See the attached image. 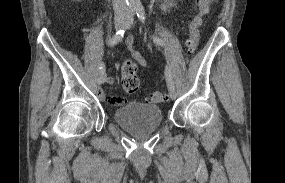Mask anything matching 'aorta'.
I'll return each mask as SVG.
<instances>
[{"label":"aorta","mask_w":285,"mask_h":183,"mask_svg":"<svg viewBox=\"0 0 285 183\" xmlns=\"http://www.w3.org/2000/svg\"><path fill=\"white\" fill-rule=\"evenodd\" d=\"M127 4L130 9H140L142 7L140 0H127Z\"/></svg>","instance_id":"aorta-1"}]
</instances>
